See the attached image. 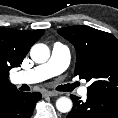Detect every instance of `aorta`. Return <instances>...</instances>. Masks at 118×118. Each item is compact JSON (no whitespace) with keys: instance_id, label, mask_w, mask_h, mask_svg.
Returning a JSON list of instances; mask_svg holds the SVG:
<instances>
[{"instance_id":"762f6f07","label":"aorta","mask_w":118,"mask_h":118,"mask_svg":"<svg viewBox=\"0 0 118 118\" xmlns=\"http://www.w3.org/2000/svg\"><path fill=\"white\" fill-rule=\"evenodd\" d=\"M30 56L35 63H45L50 58L49 47L43 43L32 46ZM73 106L72 100L68 97H60L56 101V108L61 113H68Z\"/></svg>"}]
</instances>
